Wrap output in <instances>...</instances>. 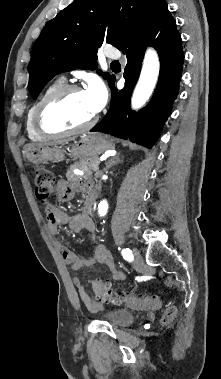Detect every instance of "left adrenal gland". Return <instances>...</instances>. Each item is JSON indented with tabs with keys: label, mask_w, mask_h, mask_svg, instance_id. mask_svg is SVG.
<instances>
[{
	"label": "left adrenal gland",
	"mask_w": 221,
	"mask_h": 379,
	"mask_svg": "<svg viewBox=\"0 0 221 379\" xmlns=\"http://www.w3.org/2000/svg\"><path fill=\"white\" fill-rule=\"evenodd\" d=\"M120 162H122V160H120L119 156L112 157V158H110V159L106 162L105 167H104L103 170L106 171V170H108L109 168H111L113 165L118 164V163H120Z\"/></svg>",
	"instance_id": "obj_1"
}]
</instances>
